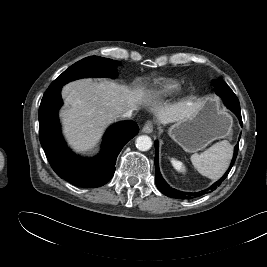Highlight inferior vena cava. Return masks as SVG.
I'll list each match as a JSON object with an SVG mask.
<instances>
[{
  "instance_id": "inferior-vena-cava-1",
  "label": "inferior vena cava",
  "mask_w": 267,
  "mask_h": 267,
  "mask_svg": "<svg viewBox=\"0 0 267 267\" xmlns=\"http://www.w3.org/2000/svg\"><path fill=\"white\" fill-rule=\"evenodd\" d=\"M134 109H129L126 112L122 113L120 116L123 118H130L133 114Z\"/></svg>"
}]
</instances>
